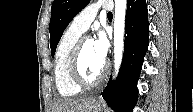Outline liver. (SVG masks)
Here are the masks:
<instances>
[{
    "instance_id": "1",
    "label": "liver",
    "mask_w": 193,
    "mask_h": 112,
    "mask_svg": "<svg viewBox=\"0 0 193 112\" xmlns=\"http://www.w3.org/2000/svg\"><path fill=\"white\" fill-rule=\"evenodd\" d=\"M93 99H59L53 105V112H91Z\"/></svg>"
}]
</instances>
